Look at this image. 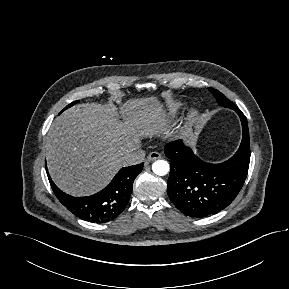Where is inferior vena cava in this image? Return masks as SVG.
Returning a JSON list of instances; mask_svg holds the SVG:
<instances>
[{"mask_svg":"<svg viewBox=\"0 0 289 289\" xmlns=\"http://www.w3.org/2000/svg\"><path fill=\"white\" fill-rule=\"evenodd\" d=\"M145 151L138 149L124 157L126 165H136L143 162Z\"/></svg>","mask_w":289,"mask_h":289,"instance_id":"obj_1","label":"inferior vena cava"}]
</instances>
